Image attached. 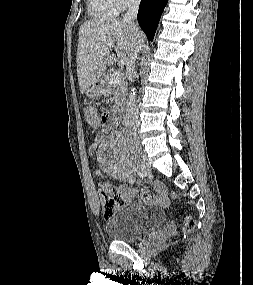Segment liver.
Segmentation results:
<instances>
[{"label": "liver", "mask_w": 253, "mask_h": 285, "mask_svg": "<svg viewBox=\"0 0 253 285\" xmlns=\"http://www.w3.org/2000/svg\"><path fill=\"white\" fill-rule=\"evenodd\" d=\"M144 39L137 25L121 19L87 21L81 25L76 60L80 92L83 94L96 83L107 65L114 61L121 66L127 64ZM108 43L114 44L115 53L109 51Z\"/></svg>", "instance_id": "1"}]
</instances>
